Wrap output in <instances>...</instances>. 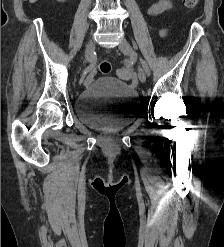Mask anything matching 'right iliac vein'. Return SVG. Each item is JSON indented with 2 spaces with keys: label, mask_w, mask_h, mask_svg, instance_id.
I'll return each mask as SVG.
<instances>
[{
  "label": "right iliac vein",
  "mask_w": 224,
  "mask_h": 247,
  "mask_svg": "<svg viewBox=\"0 0 224 247\" xmlns=\"http://www.w3.org/2000/svg\"><path fill=\"white\" fill-rule=\"evenodd\" d=\"M93 51H94V42L91 39L86 46L84 62H87L92 59Z\"/></svg>",
  "instance_id": "right-iliac-vein-1"
}]
</instances>
